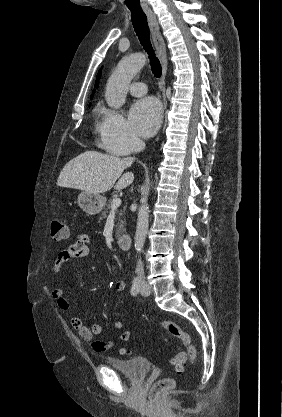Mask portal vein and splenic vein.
<instances>
[{
    "label": "portal vein and splenic vein",
    "mask_w": 282,
    "mask_h": 417,
    "mask_svg": "<svg viewBox=\"0 0 282 417\" xmlns=\"http://www.w3.org/2000/svg\"><path fill=\"white\" fill-rule=\"evenodd\" d=\"M121 202V198H113L111 204L113 211H118V206H120Z\"/></svg>",
    "instance_id": "portal-vein-and-splenic-vein-1"
}]
</instances>
